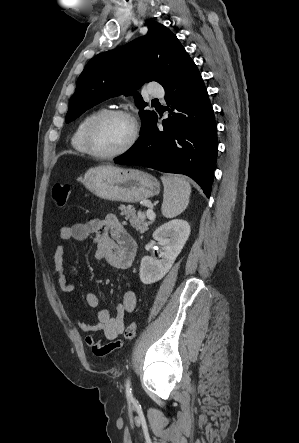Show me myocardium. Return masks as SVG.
Wrapping results in <instances>:
<instances>
[{
	"label": "myocardium",
	"mask_w": 299,
	"mask_h": 443,
	"mask_svg": "<svg viewBox=\"0 0 299 443\" xmlns=\"http://www.w3.org/2000/svg\"><path fill=\"white\" fill-rule=\"evenodd\" d=\"M111 116H120L128 119L132 125V134L129 141L118 151L112 153H100L93 145V134L98 124L105 118ZM139 137V125L136 118L128 111L123 109H104L98 112L87 124L84 132V145L88 154L100 160H111L120 157L129 152L136 144Z\"/></svg>",
	"instance_id": "1"
}]
</instances>
